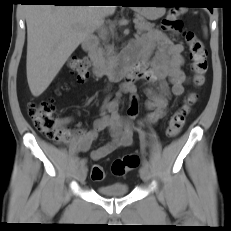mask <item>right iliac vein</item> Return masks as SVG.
Here are the masks:
<instances>
[{
	"mask_svg": "<svg viewBox=\"0 0 231 231\" xmlns=\"http://www.w3.org/2000/svg\"><path fill=\"white\" fill-rule=\"evenodd\" d=\"M86 176H87V168L83 166L79 169L77 179L80 183H84V181L86 180Z\"/></svg>",
	"mask_w": 231,
	"mask_h": 231,
	"instance_id": "right-iliac-vein-1",
	"label": "right iliac vein"
}]
</instances>
